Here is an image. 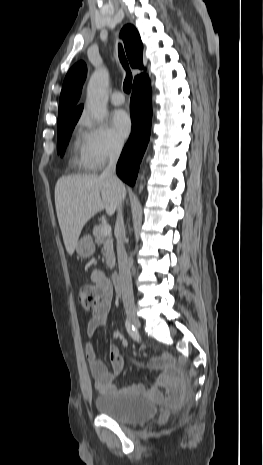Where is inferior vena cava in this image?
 <instances>
[{
  "mask_svg": "<svg viewBox=\"0 0 263 465\" xmlns=\"http://www.w3.org/2000/svg\"><path fill=\"white\" fill-rule=\"evenodd\" d=\"M123 143L120 141L115 142L109 153V163L102 173V177L109 179L116 187L123 189L124 185L116 175V164L119 159ZM121 199L117 207V219L115 223V236L117 241V259L119 268V277L121 285L122 299L125 309H134V297L132 288V278L130 273L131 264L124 247L125 240V226L122 215V201Z\"/></svg>",
  "mask_w": 263,
  "mask_h": 465,
  "instance_id": "1",
  "label": "inferior vena cava"
}]
</instances>
